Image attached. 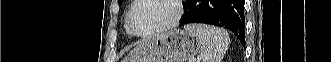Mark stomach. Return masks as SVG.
Instances as JSON below:
<instances>
[{"label": "stomach", "instance_id": "obj_1", "mask_svg": "<svg viewBox=\"0 0 331 62\" xmlns=\"http://www.w3.org/2000/svg\"><path fill=\"white\" fill-rule=\"evenodd\" d=\"M201 48L198 38L186 30H170L145 40L130 53L131 62H187Z\"/></svg>", "mask_w": 331, "mask_h": 62}]
</instances>
